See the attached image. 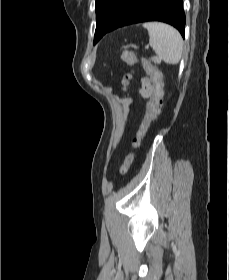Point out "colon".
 Returning <instances> with one entry per match:
<instances>
[{
  "label": "colon",
  "instance_id": "1",
  "mask_svg": "<svg viewBox=\"0 0 229 280\" xmlns=\"http://www.w3.org/2000/svg\"><path fill=\"white\" fill-rule=\"evenodd\" d=\"M121 57L128 65H134L139 61L137 54L131 50L123 51ZM148 71L150 78L142 79L143 92L145 97L148 98L147 113L140 125L136 137L132 141L134 149H139L141 147L152 123L160 115L163 106L164 91L161 74L153 65H149ZM129 77L130 76L128 75L126 78L128 79ZM133 157L134 155L131 153L126 158L121 169L123 175H126L129 172Z\"/></svg>",
  "mask_w": 229,
  "mask_h": 280
}]
</instances>
